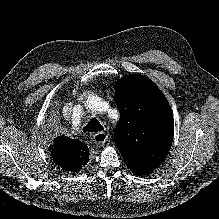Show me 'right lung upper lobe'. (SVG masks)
<instances>
[{"label":"right lung upper lobe","mask_w":219,"mask_h":219,"mask_svg":"<svg viewBox=\"0 0 219 219\" xmlns=\"http://www.w3.org/2000/svg\"><path fill=\"white\" fill-rule=\"evenodd\" d=\"M50 150L53 161L65 171H79L89 161L88 147L78 139L58 136Z\"/></svg>","instance_id":"obj_1"}]
</instances>
